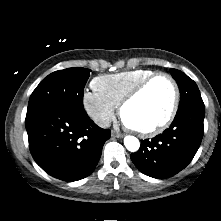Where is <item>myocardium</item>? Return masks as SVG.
<instances>
[{"mask_svg": "<svg viewBox=\"0 0 221 221\" xmlns=\"http://www.w3.org/2000/svg\"><path fill=\"white\" fill-rule=\"evenodd\" d=\"M158 78H165L170 83L172 90H173V100L170 107V110L167 114V116L164 118L163 121H161L159 124H157L154 127H151L149 129H136L133 127H130L133 131H135L139 136L141 137H153L155 135L160 134L163 132L166 128L169 127V125L174 120L176 113L178 111L179 102H180V91L179 87L177 85V82L173 78L172 75L166 72H156L149 77L142 80L140 83H138L120 102L119 104V113L121 118L123 119V112L125 107L130 104L132 101H134L153 81H155Z\"/></svg>", "mask_w": 221, "mask_h": 221, "instance_id": "obj_1", "label": "myocardium"}]
</instances>
